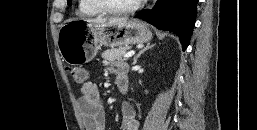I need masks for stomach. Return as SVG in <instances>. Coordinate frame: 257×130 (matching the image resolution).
I'll return each instance as SVG.
<instances>
[{"instance_id": "1", "label": "stomach", "mask_w": 257, "mask_h": 130, "mask_svg": "<svg viewBox=\"0 0 257 130\" xmlns=\"http://www.w3.org/2000/svg\"><path fill=\"white\" fill-rule=\"evenodd\" d=\"M152 37L139 20H123L113 24L91 25L81 20L64 22L58 33V49L62 59L77 65L91 61L99 47L128 46L148 42Z\"/></svg>"}]
</instances>
